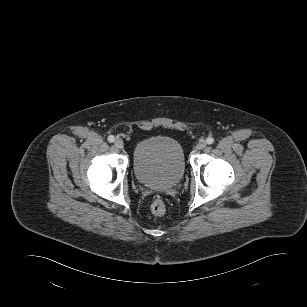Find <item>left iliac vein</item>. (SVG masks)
I'll return each mask as SVG.
<instances>
[{"instance_id":"1","label":"left iliac vein","mask_w":307,"mask_h":307,"mask_svg":"<svg viewBox=\"0 0 307 307\" xmlns=\"http://www.w3.org/2000/svg\"><path fill=\"white\" fill-rule=\"evenodd\" d=\"M206 147V142L204 140L198 142V144L196 145V149L197 150H202Z\"/></svg>"}]
</instances>
